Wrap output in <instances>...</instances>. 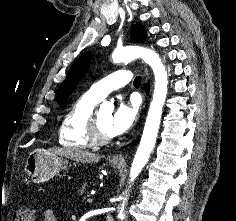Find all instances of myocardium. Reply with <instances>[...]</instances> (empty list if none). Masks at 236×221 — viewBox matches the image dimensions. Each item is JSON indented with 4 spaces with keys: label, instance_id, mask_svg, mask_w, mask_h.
Returning <instances> with one entry per match:
<instances>
[{
    "label": "myocardium",
    "instance_id": "myocardium-1",
    "mask_svg": "<svg viewBox=\"0 0 236 221\" xmlns=\"http://www.w3.org/2000/svg\"><path fill=\"white\" fill-rule=\"evenodd\" d=\"M87 136L94 145H104L112 140V136L105 135L101 132L97 114L93 112L88 121Z\"/></svg>",
    "mask_w": 236,
    "mask_h": 221
}]
</instances>
